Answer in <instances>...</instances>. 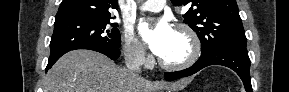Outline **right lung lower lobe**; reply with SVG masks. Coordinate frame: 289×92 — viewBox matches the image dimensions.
<instances>
[{
	"label": "right lung lower lobe",
	"mask_w": 289,
	"mask_h": 92,
	"mask_svg": "<svg viewBox=\"0 0 289 92\" xmlns=\"http://www.w3.org/2000/svg\"><path fill=\"white\" fill-rule=\"evenodd\" d=\"M78 49H89V50H94L97 52H100L106 56H108L112 60H116L120 56V49L119 48H110L106 46H98V45H90V46H84ZM68 51L61 53L55 57L49 58L48 65L46 67V72L53 66V64L65 53Z\"/></svg>",
	"instance_id": "98d812e1"
}]
</instances>
